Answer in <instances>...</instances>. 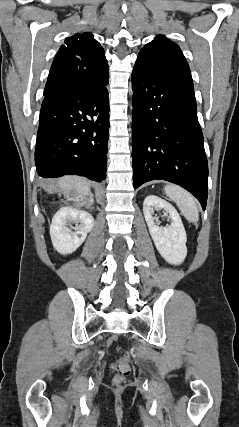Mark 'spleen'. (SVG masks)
Instances as JSON below:
<instances>
[{
	"mask_svg": "<svg viewBox=\"0 0 239 427\" xmlns=\"http://www.w3.org/2000/svg\"><path fill=\"white\" fill-rule=\"evenodd\" d=\"M164 191L166 196L177 204L189 222L196 223L198 221L199 212L196 200L187 191L172 184L166 185Z\"/></svg>",
	"mask_w": 239,
	"mask_h": 427,
	"instance_id": "spleen-1",
	"label": "spleen"
}]
</instances>
